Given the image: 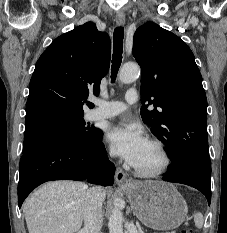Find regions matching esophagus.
<instances>
[{
    "mask_svg": "<svg viewBox=\"0 0 227 233\" xmlns=\"http://www.w3.org/2000/svg\"><path fill=\"white\" fill-rule=\"evenodd\" d=\"M115 20H116V24L118 26L124 25V23H125V13L123 11H118L116 13ZM115 181L119 186H126V185L130 184V182L127 179L126 174L124 173V171L121 168L116 169Z\"/></svg>",
    "mask_w": 227,
    "mask_h": 233,
    "instance_id": "obj_1",
    "label": "esophagus"
}]
</instances>
